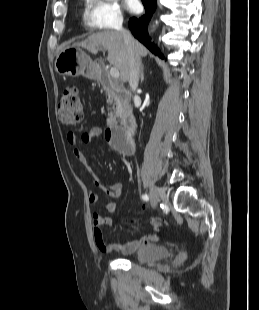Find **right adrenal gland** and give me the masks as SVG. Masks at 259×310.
Instances as JSON below:
<instances>
[{"label": "right adrenal gland", "instance_id": "2a0ac1e0", "mask_svg": "<svg viewBox=\"0 0 259 310\" xmlns=\"http://www.w3.org/2000/svg\"><path fill=\"white\" fill-rule=\"evenodd\" d=\"M144 81V66H141V71H140V82L142 83Z\"/></svg>", "mask_w": 259, "mask_h": 310}]
</instances>
